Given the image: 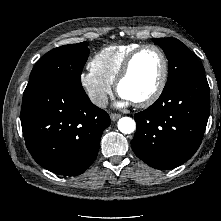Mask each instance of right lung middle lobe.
<instances>
[{
	"label": "right lung middle lobe",
	"instance_id": "right-lung-middle-lobe-1",
	"mask_svg": "<svg viewBox=\"0 0 221 221\" xmlns=\"http://www.w3.org/2000/svg\"><path fill=\"white\" fill-rule=\"evenodd\" d=\"M89 52L86 42L57 47L37 62L30 74L29 82L53 87H82L80 77Z\"/></svg>",
	"mask_w": 221,
	"mask_h": 221
}]
</instances>
